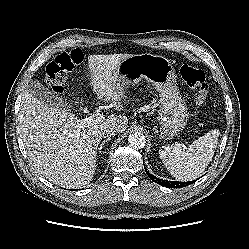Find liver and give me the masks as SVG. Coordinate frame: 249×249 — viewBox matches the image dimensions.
<instances>
[{"mask_svg": "<svg viewBox=\"0 0 249 249\" xmlns=\"http://www.w3.org/2000/svg\"><path fill=\"white\" fill-rule=\"evenodd\" d=\"M131 54L90 55L88 69L90 86L98 99L110 108L125 110L126 84L116 73V67ZM80 125L77 117L62 109L49 106L27 90L22 94L19 111L21 138L31 164L52 183L66 188H79L91 182L102 131L115 126L124 132L126 116L111 115L98 124Z\"/></svg>", "mask_w": 249, "mask_h": 249, "instance_id": "1", "label": "liver"}]
</instances>
